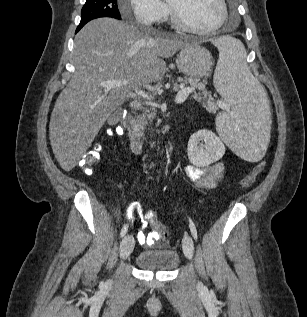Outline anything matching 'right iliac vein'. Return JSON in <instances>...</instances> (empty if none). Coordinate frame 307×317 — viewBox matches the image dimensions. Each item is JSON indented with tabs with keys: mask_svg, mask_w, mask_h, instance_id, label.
I'll return each mask as SVG.
<instances>
[{
	"mask_svg": "<svg viewBox=\"0 0 307 317\" xmlns=\"http://www.w3.org/2000/svg\"><path fill=\"white\" fill-rule=\"evenodd\" d=\"M134 248V239L131 235H126L120 244V258L125 260Z\"/></svg>",
	"mask_w": 307,
	"mask_h": 317,
	"instance_id": "63e3f726",
	"label": "right iliac vein"
}]
</instances>
